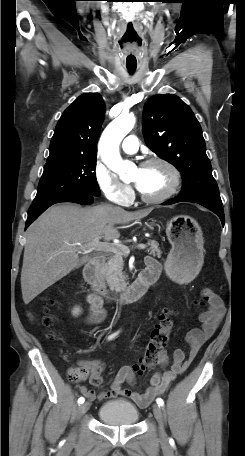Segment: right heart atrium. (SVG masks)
I'll use <instances>...</instances> for the list:
<instances>
[{
  "label": "right heart atrium",
  "instance_id": "right-heart-atrium-1",
  "mask_svg": "<svg viewBox=\"0 0 245 456\" xmlns=\"http://www.w3.org/2000/svg\"><path fill=\"white\" fill-rule=\"evenodd\" d=\"M93 174L99 190L108 200L123 206L131 202L133 196L131 187L121 182L104 164L97 161Z\"/></svg>",
  "mask_w": 245,
  "mask_h": 456
}]
</instances>
